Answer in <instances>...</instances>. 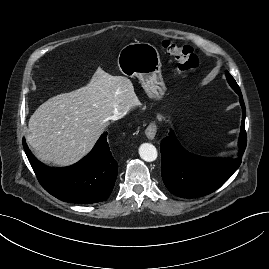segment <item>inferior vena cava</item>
<instances>
[{"mask_svg":"<svg viewBox=\"0 0 269 269\" xmlns=\"http://www.w3.org/2000/svg\"><path fill=\"white\" fill-rule=\"evenodd\" d=\"M125 114L122 112H116L115 114H113L109 119L110 120H118L121 119Z\"/></svg>","mask_w":269,"mask_h":269,"instance_id":"obj_1","label":"inferior vena cava"}]
</instances>
